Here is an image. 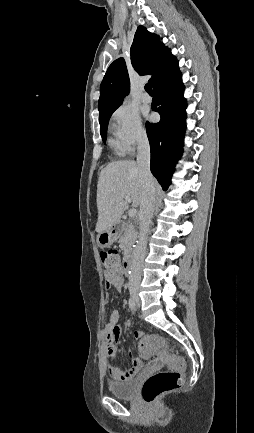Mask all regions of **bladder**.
<instances>
[{"label":"bladder","mask_w":254,"mask_h":433,"mask_svg":"<svg viewBox=\"0 0 254 433\" xmlns=\"http://www.w3.org/2000/svg\"><path fill=\"white\" fill-rule=\"evenodd\" d=\"M138 379L131 378L121 382H110L108 390L111 395L120 399H132L136 394Z\"/></svg>","instance_id":"31cf9c89"}]
</instances>
